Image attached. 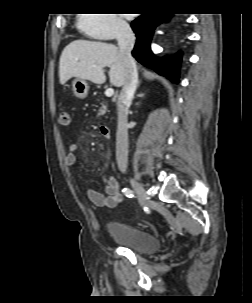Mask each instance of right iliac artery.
<instances>
[{
  "label": "right iliac artery",
  "instance_id": "right-iliac-artery-1",
  "mask_svg": "<svg viewBox=\"0 0 252 303\" xmlns=\"http://www.w3.org/2000/svg\"><path fill=\"white\" fill-rule=\"evenodd\" d=\"M122 192L124 193V195L128 198H132L134 197V193L132 190H130L129 188H123Z\"/></svg>",
  "mask_w": 252,
  "mask_h": 303
}]
</instances>
